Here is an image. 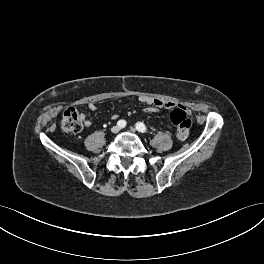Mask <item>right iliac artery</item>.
I'll list each match as a JSON object with an SVG mask.
<instances>
[{
    "label": "right iliac artery",
    "mask_w": 264,
    "mask_h": 264,
    "mask_svg": "<svg viewBox=\"0 0 264 264\" xmlns=\"http://www.w3.org/2000/svg\"><path fill=\"white\" fill-rule=\"evenodd\" d=\"M117 125L120 128H124L126 126V121L121 119L117 122Z\"/></svg>",
    "instance_id": "obj_1"
}]
</instances>
